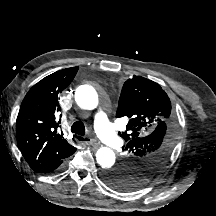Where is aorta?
<instances>
[{
    "instance_id": "1",
    "label": "aorta",
    "mask_w": 216,
    "mask_h": 216,
    "mask_svg": "<svg viewBox=\"0 0 216 216\" xmlns=\"http://www.w3.org/2000/svg\"><path fill=\"white\" fill-rule=\"evenodd\" d=\"M77 105L85 110H93L98 106V95L96 90L88 85L79 86L75 91ZM97 163L103 169L111 168L115 163V154L108 147H101L96 153Z\"/></svg>"
}]
</instances>
